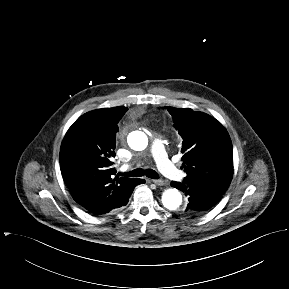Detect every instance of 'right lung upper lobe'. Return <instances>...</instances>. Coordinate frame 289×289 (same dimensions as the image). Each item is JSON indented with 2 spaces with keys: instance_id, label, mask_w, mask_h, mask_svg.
<instances>
[{
  "instance_id": "right-lung-upper-lobe-1",
  "label": "right lung upper lobe",
  "mask_w": 289,
  "mask_h": 289,
  "mask_svg": "<svg viewBox=\"0 0 289 289\" xmlns=\"http://www.w3.org/2000/svg\"><path fill=\"white\" fill-rule=\"evenodd\" d=\"M126 107L97 109L79 117L60 149V168L73 199L96 215L128 203L139 179L119 177L113 168L117 123Z\"/></svg>"
}]
</instances>
